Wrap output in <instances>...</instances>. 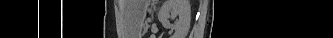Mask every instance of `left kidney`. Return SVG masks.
I'll list each match as a JSON object with an SVG mask.
<instances>
[{"instance_id": "obj_1", "label": "left kidney", "mask_w": 333, "mask_h": 38, "mask_svg": "<svg viewBox=\"0 0 333 38\" xmlns=\"http://www.w3.org/2000/svg\"><path fill=\"white\" fill-rule=\"evenodd\" d=\"M191 19L188 0H165L158 12V20L166 29L174 30L171 38H185ZM170 20L174 21L173 23Z\"/></svg>"}]
</instances>
